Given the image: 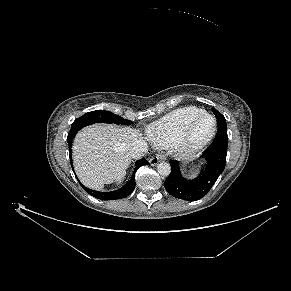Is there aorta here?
Returning a JSON list of instances; mask_svg holds the SVG:
<instances>
[{"label": "aorta", "instance_id": "762f6f07", "mask_svg": "<svg viewBox=\"0 0 291 291\" xmlns=\"http://www.w3.org/2000/svg\"><path fill=\"white\" fill-rule=\"evenodd\" d=\"M157 171L162 176H168L171 172V167L167 162H161L157 165Z\"/></svg>", "mask_w": 291, "mask_h": 291}]
</instances>
